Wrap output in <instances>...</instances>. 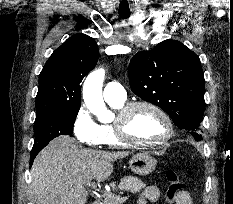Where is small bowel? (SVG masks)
Masks as SVG:
<instances>
[{
  "mask_svg": "<svg viewBox=\"0 0 233 204\" xmlns=\"http://www.w3.org/2000/svg\"><path fill=\"white\" fill-rule=\"evenodd\" d=\"M160 198V191L155 186L146 187L139 195L137 204H147L148 202H157ZM175 204H193L190 195L187 192L182 193Z\"/></svg>",
  "mask_w": 233,
  "mask_h": 204,
  "instance_id": "1",
  "label": "small bowel"
}]
</instances>
